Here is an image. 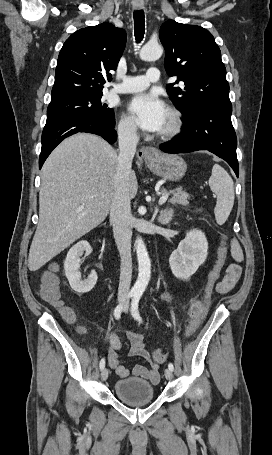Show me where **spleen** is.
<instances>
[{
	"label": "spleen",
	"mask_w": 272,
	"mask_h": 455,
	"mask_svg": "<svg viewBox=\"0 0 272 455\" xmlns=\"http://www.w3.org/2000/svg\"><path fill=\"white\" fill-rule=\"evenodd\" d=\"M209 186L217 195L214 209L216 222L222 225L226 222L234 204V183L230 175L218 164L212 168Z\"/></svg>",
	"instance_id": "obj_1"
}]
</instances>
